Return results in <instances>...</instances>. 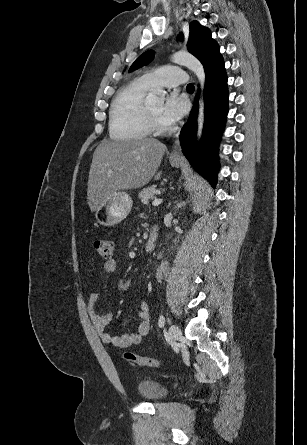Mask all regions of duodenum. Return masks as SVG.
Listing matches in <instances>:
<instances>
[{"instance_id": "410a0bca", "label": "duodenum", "mask_w": 307, "mask_h": 445, "mask_svg": "<svg viewBox=\"0 0 307 445\" xmlns=\"http://www.w3.org/2000/svg\"><path fill=\"white\" fill-rule=\"evenodd\" d=\"M157 241V230L153 229L146 244H145V251L150 253L155 249Z\"/></svg>"}]
</instances>
